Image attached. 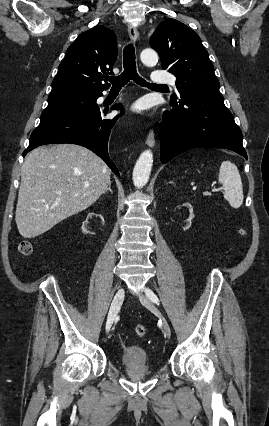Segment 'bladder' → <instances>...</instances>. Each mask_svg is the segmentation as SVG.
<instances>
[{
	"label": "bladder",
	"mask_w": 269,
	"mask_h": 426,
	"mask_svg": "<svg viewBox=\"0 0 269 426\" xmlns=\"http://www.w3.org/2000/svg\"><path fill=\"white\" fill-rule=\"evenodd\" d=\"M120 361L125 368L133 369L149 363L148 353L139 346H129L122 350Z\"/></svg>",
	"instance_id": "bladder-1"
}]
</instances>
